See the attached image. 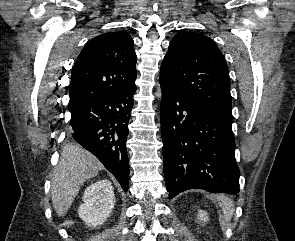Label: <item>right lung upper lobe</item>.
Returning a JSON list of instances; mask_svg holds the SVG:
<instances>
[{"mask_svg":"<svg viewBox=\"0 0 295 241\" xmlns=\"http://www.w3.org/2000/svg\"><path fill=\"white\" fill-rule=\"evenodd\" d=\"M135 64L133 39L126 32L105 33L91 39L72 68L68 107L130 88L135 84Z\"/></svg>","mask_w":295,"mask_h":241,"instance_id":"obj_1","label":"right lung upper lobe"}]
</instances>
